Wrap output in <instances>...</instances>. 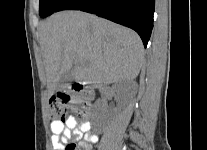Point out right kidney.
<instances>
[{
    "instance_id": "ca27d5eb",
    "label": "right kidney",
    "mask_w": 207,
    "mask_h": 150,
    "mask_svg": "<svg viewBox=\"0 0 207 150\" xmlns=\"http://www.w3.org/2000/svg\"><path fill=\"white\" fill-rule=\"evenodd\" d=\"M120 91H121V88L119 87V85H115L112 89L113 94H119Z\"/></svg>"
}]
</instances>
